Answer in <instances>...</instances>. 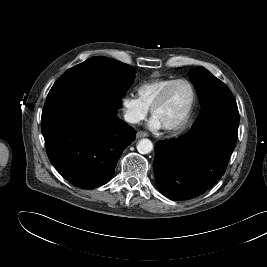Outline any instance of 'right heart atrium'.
I'll return each instance as SVG.
<instances>
[{
	"label": "right heart atrium",
	"instance_id": "d8ad5b80",
	"mask_svg": "<svg viewBox=\"0 0 267 267\" xmlns=\"http://www.w3.org/2000/svg\"><path fill=\"white\" fill-rule=\"evenodd\" d=\"M124 107V117L128 123L135 124L143 120L149 107L143 102L139 95L133 93L126 94L122 99Z\"/></svg>",
	"mask_w": 267,
	"mask_h": 267
}]
</instances>
